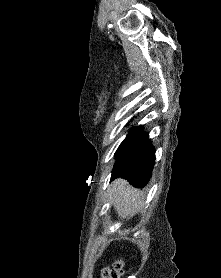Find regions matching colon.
<instances>
[{"label": "colon", "instance_id": "obj_1", "mask_svg": "<svg viewBox=\"0 0 221 278\" xmlns=\"http://www.w3.org/2000/svg\"><path fill=\"white\" fill-rule=\"evenodd\" d=\"M124 265L121 260H115L112 267L105 268L102 271V278H122L124 274Z\"/></svg>", "mask_w": 221, "mask_h": 278}]
</instances>
